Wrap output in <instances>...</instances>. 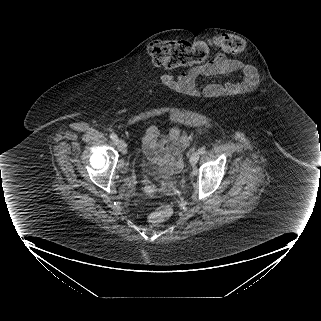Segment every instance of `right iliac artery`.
I'll return each mask as SVG.
<instances>
[{
  "instance_id": "82829eb1",
  "label": "right iliac artery",
  "mask_w": 321,
  "mask_h": 321,
  "mask_svg": "<svg viewBox=\"0 0 321 321\" xmlns=\"http://www.w3.org/2000/svg\"><path fill=\"white\" fill-rule=\"evenodd\" d=\"M110 138L117 144L118 142V137L115 133H111L110 134Z\"/></svg>"
}]
</instances>
